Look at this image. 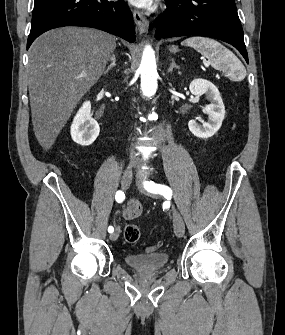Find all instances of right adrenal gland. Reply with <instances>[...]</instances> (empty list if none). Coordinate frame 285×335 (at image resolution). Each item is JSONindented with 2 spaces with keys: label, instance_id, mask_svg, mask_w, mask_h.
<instances>
[{
  "label": "right adrenal gland",
  "instance_id": "obj_1",
  "mask_svg": "<svg viewBox=\"0 0 285 335\" xmlns=\"http://www.w3.org/2000/svg\"><path fill=\"white\" fill-rule=\"evenodd\" d=\"M110 62L111 64H109L107 70H105L104 74H108V72H110V70H112V68H114V66H116V58H115V54H112L111 58H110Z\"/></svg>",
  "mask_w": 285,
  "mask_h": 335
}]
</instances>
